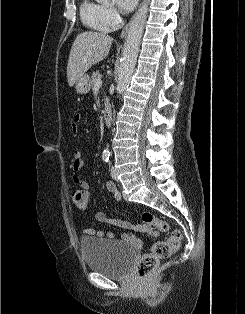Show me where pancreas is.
<instances>
[{"label": "pancreas", "instance_id": "pancreas-1", "mask_svg": "<svg viewBox=\"0 0 245 314\" xmlns=\"http://www.w3.org/2000/svg\"><path fill=\"white\" fill-rule=\"evenodd\" d=\"M98 78H101V74L99 73V71L93 72L89 82L91 87H95Z\"/></svg>", "mask_w": 245, "mask_h": 314}]
</instances>
